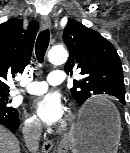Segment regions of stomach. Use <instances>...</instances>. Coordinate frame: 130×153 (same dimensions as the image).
Segmentation results:
<instances>
[{"label": "stomach", "instance_id": "1", "mask_svg": "<svg viewBox=\"0 0 130 153\" xmlns=\"http://www.w3.org/2000/svg\"><path fill=\"white\" fill-rule=\"evenodd\" d=\"M88 108L109 111L85 120L83 113ZM121 131V118L116 107L103 99H94L83 107L62 147L69 148L72 153H117Z\"/></svg>", "mask_w": 130, "mask_h": 153}]
</instances>
